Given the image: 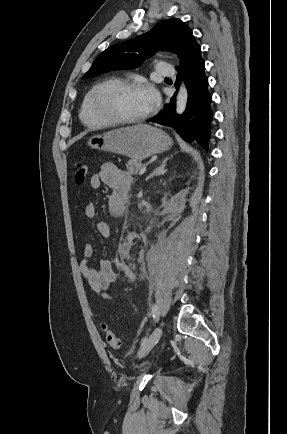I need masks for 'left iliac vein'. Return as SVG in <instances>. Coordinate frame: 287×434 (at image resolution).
I'll return each mask as SVG.
<instances>
[{"instance_id":"1","label":"left iliac vein","mask_w":287,"mask_h":434,"mask_svg":"<svg viewBox=\"0 0 287 434\" xmlns=\"http://www.w3.org/2000/svg\"><path fill=\"white\" fill-rule=\"evenodd\" d=\"M162 334H163L162 327L156 328L155 331L152 333V335L141 346L138 352V357L139 358L145 357L152 350V348L157 344Z\"/></svg>"}]
</instances>
